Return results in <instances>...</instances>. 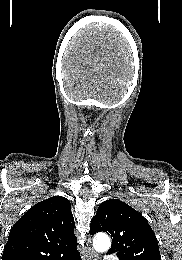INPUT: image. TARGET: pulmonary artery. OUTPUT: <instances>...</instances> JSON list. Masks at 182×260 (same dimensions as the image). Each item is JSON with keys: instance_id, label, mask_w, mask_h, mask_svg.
Instances as JSON below:
<instances>
[{"instance_id": "obj_1", "label": "pulmonary artery", "mask_w": 182, "mask_h": 260, "mask_svg": "<svg viewBox=\"0 0 182 260\" xmlns=\"http://www.w3.org/2000/svg\"><path fill=\"white\" fill-rule=\"evenodd\" d=\"M104 260H119V259L116 258L115 256L107 255V256H105Z\"/></svg>"}]
</instances>
